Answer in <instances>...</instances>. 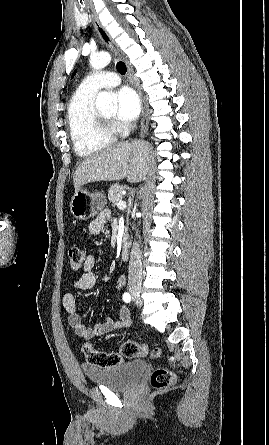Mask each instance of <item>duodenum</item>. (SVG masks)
I'll list each match as a JSON object with an SVG mask.
<instances>
[{
  "label": "duodenum",
  "mask_w": 269,
  "mask_h": 445,
  "mask_svg": "<svg viewBox=\"0 0 269 445\" xmlns=\"http://www.w3.org/2000/svg\"><path fill=\"white\" fill-rule=\"evenodd\" d=\"M128 256H129V246H128L127 241H124L121 246V258L127 259Z\"/></svg>",
  "instance_id": "obj_1"
}]
</instances>
